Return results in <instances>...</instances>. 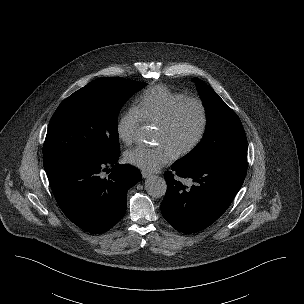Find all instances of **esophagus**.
Instances as JSON below:
<instances>
[{
    "mask_svg": "<svg viewBox=\"0 0 304 304\" xmlns=\"http://www.w3.org/2000/svg\"><path fill=\"white\" fill-rule=\"evenodd\" d=\"M141 174L143 178H149L152 176V174L147 171H142Z\"/></svg>",
    "mask_w": 304,
    "mask_h": 304,
    "instance_id": "obj_1",
    "label": "esophagus"
}]
</instances>
